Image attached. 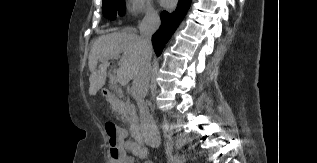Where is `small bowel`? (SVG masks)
<instances>
[{
  "label": "small bowel",
  "instance_id": "obj_1",
  "mask_svg": "<svg viewBox=\"0 0 317 163\" xmlns=\"http://www.w3.org/2000/svg\"><path fill=\"white\" fill-rule=\"evenodd\" d=\"M119 138L121 140L122 156L119 163H134L135 157L140 159L147 158L146 148H142L136 144V142L126 140V132L121 129L119 131ZM144 163H153L151 160H144Z\"/></svg>",
  "mask_w": 317,
  "mask_h": 163
}]
</instances>
